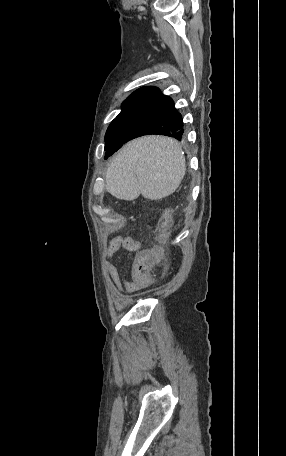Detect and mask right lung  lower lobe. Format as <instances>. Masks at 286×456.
<instances>
[{
	"instance_id": "right-lung-lower-lobe-1",
	"label": "right lung lower lobe",
	"mask_w": 286,
	"mask_h": 456,
	"mask_svg": "<svg viewBox=\"0 0 286 456\" xmlns=\"http://www.w3.org/2000/svg\"><path fill=\"white\" fill-rule=\"evenodd\" d=\"M122 115L128 136L121 146L146 134H162L177 140L184 137L181 114L173 100L156 87H143L132 93L123 103Z\"/></svg>"
}]
</instances>
